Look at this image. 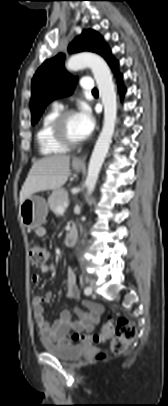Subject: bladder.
Instances as JSON below:
<instances>
[{
    "label": "bladder",
    "mask_w": 168,
    "mask_h": 406,
    "mask_svg": "<svg viewBox=\"0 0 168 406\" xmlns=\"http://www.w3.org/2000/svg\"><path fill=\"white\" fill-rule=\"evenodd\" d=\"M43 346L48 353L63 361H74L83 353V348L74 344H50L43 342Z\"/></svg>",
    "instance_id": "obj_1"
}]
</instances>
